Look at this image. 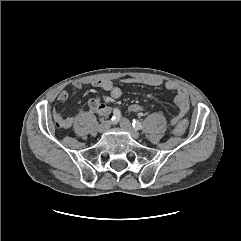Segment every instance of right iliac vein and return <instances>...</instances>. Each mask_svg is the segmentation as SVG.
<instances>
[{"label": "right iliac vein", "instance_id": "right-iliac-vein-1", "mask_svg": "<svg viewBox=\"0 0 241 241\" xmlns=\"http://www.w3.org/2000/svg\"><path fill=\"white\" fill-rule=\"evenodd\" d=\"M110 127V122L109 121H103L99 127H98V131L100 133H104L105 131H107Z\"/></svg>", "mask_w": 241, "mask_h": 241}]
</instances>
